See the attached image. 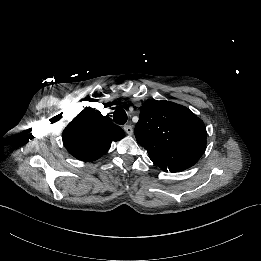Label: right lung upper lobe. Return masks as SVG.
<instances>
[{
  "mask_svg": "<svg viewBox=\"0 0 261 261\" xmlns=\"http://www.w3.org/2000/svg\"><path fill=\"white\" fill-rule=\"evenodd\" d=\"M125 136L108 116L86 108L64 129L63 144L68 152L82 161H94L103 156L113 141Z\"/></svg>",
  "mask_w": 261,
  "mask_h": 261,
  "instance_id": "obj_1",
  "label": "right lung upper lobe"
}]
</instances>
